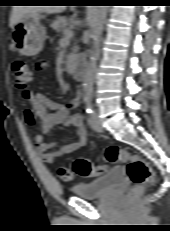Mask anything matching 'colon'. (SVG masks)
<instances>
[{
    "mask_svg": "<svg viewBox=\"0 0 170 231\" xmlns=\"http://www.w3.org/2000/svg\"><path fill=\"white\" fill-rule=\"evenodd\" d=\"M14 81L18 91L28 89L33 79V67L23 60H15L11 66ZM106 161L110 163H124L127 174L134 184L129 192V198L135 199L142 191L154 181V172L148 163L135 154H131L118 145L109 146L104 154ZM104 172L102 165H95L86 158H78L71 168L61 166L57 169L58 177L71 182L76 176L94 177Z\"/></svg>",
    "mask_w": 170,
    "mask_h": 231,
    "instance_id": "1",
    "label": "colon"
}]
</instances>
